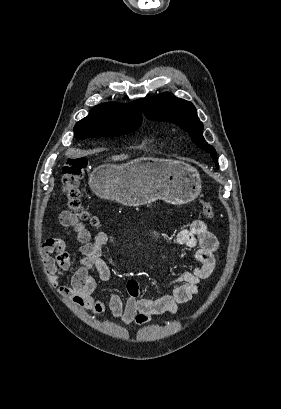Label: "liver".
<instances>
[{"mask_svg":"<svg viewBox=\"0 0 281 409\" xmlns=\"http://www.w3.org/2000/svg\"><path fill=\"white\" fill-rule=\"evenodd\" d=\"M113 160H123V158H127V154H116V156H112Z\"/></svg>","mask_w":281,"mask_h":409,"instance_id":"6515ba94","label":"liver"}]
</instances>
